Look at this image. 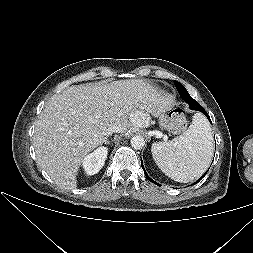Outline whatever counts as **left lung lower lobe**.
I'll list each match as a JSON object with an SVG mask.
<instances>
[{"label": "left lung lower lobe", "mask_w": 253, "mask_h": 253, "mask_svg": "<svg viewBox=\"0 0 253 253\" xmlns=\"http://www.w3.org/2000/svg\"><path fill=\"white\" fill-rule=\"evenodd\" d=\"M190 108H191L192 110L201 111V112L204 113L205 116L210 120V118H209L207 112L204 110V108H203L197 101L193 102V103L190 105ZM210 121H211V120H210ZM141 166H142V168H143V170H144V174H145V176L147 177V179H148L150 182L159 185L158 183H156L154 180H152V179L148 176V174L146 173V171H145V169H144L142 160H141ZM206 173H207V172H206ZM206 173H205L199 180H197L194 184L198 183V182L206 175ZM159 186H160V185H159Z\"/></svg>", "instance_id": "obj_1"}]
</instances>
